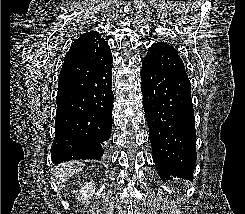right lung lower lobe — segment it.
Listing matches in <instances>:
<instances>
[{
	"label": "right lung lower lobe",
	"instance_id": "98d812e1",
	"mask_svg": "<svg viewBox=\"0 0 245 214\" xmlns=\"http://www.w3.org/2000/svg\"><path fill=\"white\" fill-rule=\"evenodd\" d=\"M112 61L103 64L85 87L77 84L73 61L64 62L56 98L53 163L103 156L112 128Z\"/></svg>",
	"mask_w": 245,
	"mask_h": 214
}]
</instances>
